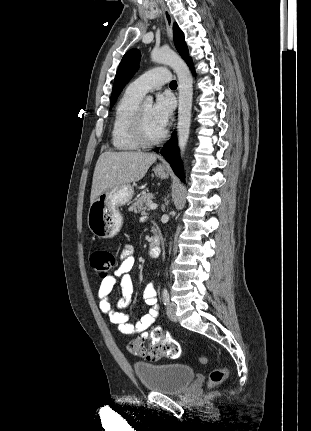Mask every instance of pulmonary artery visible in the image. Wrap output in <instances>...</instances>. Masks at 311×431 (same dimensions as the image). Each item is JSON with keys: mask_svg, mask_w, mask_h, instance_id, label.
<instances>
[{"mask_svg": "<svg viewBox=\"0 0 311 431\" xmlns=\"http://www.w3.org/2000/svg\"><path fill=\"white\" fill-rule=\"evenodd\" d=\"M171 80V74L164 67L148 70L127 87L128 91L143 97L147 92L160 88Z\"/></svg>", "mask_w": 311, "mask_h": 431, "instance_id": "e3ab8cb5", "label": "pulmonary artery"}]
</instances>
